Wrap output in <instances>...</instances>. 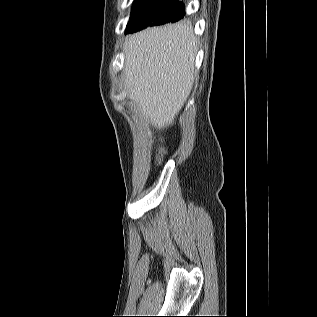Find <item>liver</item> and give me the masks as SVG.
<instances>
[{"mask_svg":"<svg viewBox=\"0 0 317 317\" xmlns=\"http://www.w3.org/2000/svg\"><path fill=\"white\" fill-rule=\"evenodd\" d=\"M129 98L153 127L174 122L192 90L197 38L187 24L152 27L124 44Z\"/></svg>","mask_w":317,"mask_h":317,"instance_id":"1","label":"liver"}]
</instances>
